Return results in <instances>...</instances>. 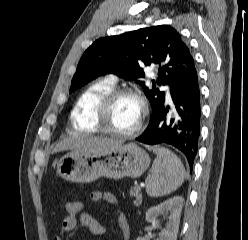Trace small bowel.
<instances>
[{
  "instance_id": "obj_1",
  "label": "small bowel",
  "mask_w": 248,
  "mask_h": 240,
  "mask_svg": "<svg viewBox=\"0 0 248 240\" xmlns=\"http://www.w3.org/2000/svg\"><path fill=\"white\" fill-rule=\"evenodd\" d=\"M90 198L92 201H95V202L105 201L109 205H111L112 207H115V208L118 205L117 199L110 192L94 191L91 193ZM78 218L82 224H84L85 226H87L90 229L92 234L99 235V234L103 233L104 227L101 224V222L98 221L97 219L93 218L91 215H89L87 213H80L79 216L78 215L66 216L62 222L63 231L67 232V233L72 232L76 228ZM117 223H118L119 229H120L122 235L124 236V238L129 239L130 227H129V224L127 222V218H126L125 214H123L121 212L117 214ZM54 240H62V239L59 236H56L54 238Z\"/></svg>"
}]
</instances>
